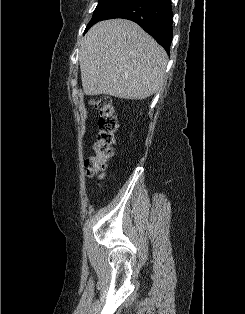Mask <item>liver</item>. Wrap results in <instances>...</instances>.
I'll use <instances>...</instances> for the list:
<instances>
[{
	"label": "liver",
	"instance_id": "6515ba94",
	"mask_svg": "<svg viewBox=\"0 0 245 314\" xmlns=\"http://www.w3.org/2000/svg\"><path fill=\"white\" fill-rule=\"evenodd\" d=\"M165 50L139 25L125 19L95 24L80 44L84 93L142 100L161 91Z\"/></svg>",
	"mask_w": 245,
	"mask_h": 314
}]
</instances>
